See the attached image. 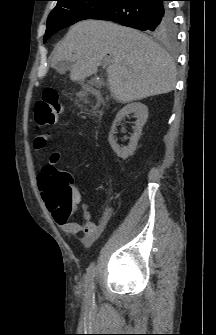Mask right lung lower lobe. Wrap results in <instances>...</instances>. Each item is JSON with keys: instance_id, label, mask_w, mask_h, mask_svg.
Masks as SVG:
<instances>
[{"instance_id": "obj_1", "label": "right lung lower lobe", "mask_w": 216, "mask_h": 335, "mask_svg": "<svg viewBox=\"0 0 216 335\" xmlns=\"http://www.w3.org/2000/svg\"><path fill=\"white\" fill-rule=\"evenodd\" d=\"M92 19L114 21L153 35L173 25L166 0H116Z\"/></svg>"}]
</instances>
